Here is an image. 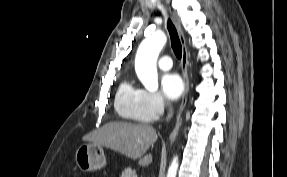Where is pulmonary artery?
Segmentation results:
<instances>
[{
    "label": "pulmonary artery",
    "mask_w": 287,
    "mask_h": 177,
    "mask_svg": "<svg viewBox=\"0 0 287 177\" xmlns=\"http://www.w3.org/2000/svg\"><path fill=\"white\" fill-rule=\"evenodd\" d=\"M158 66L163 70H168L172 67V60L171 57L168 55H164L159 58Z\"/></svg>",
    "instance_id": "obj_1"
}]
</instances>
